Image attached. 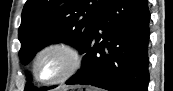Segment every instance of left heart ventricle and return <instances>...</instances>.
<instances>
[{"mask_svg":"<svg viewBox=\"0 0 173 91\" xmlns=\"http://www.w3.org/2000/svg\"><path fill=\"white\" fill-rule=\"evenodd\" d=\"M66 66L64 57L56 52H51L42 57L38 72L43 79H48L61 73Z\"/></svg>","mask_w":173,"mask_h":91,"instance_id":"obj_1","label":"left heart ventricle"}]
</instances>
